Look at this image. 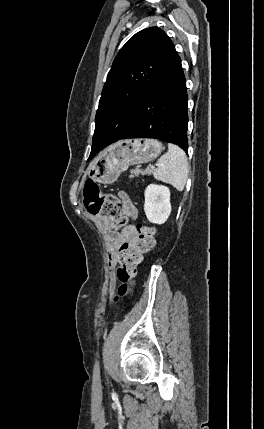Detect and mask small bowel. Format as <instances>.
Returning <instances> with one entry per match:
<instances>
[{
	"label": "small bowel",
	"mask_w": 264,
	"mask_h": 429,
	"mask_svg": "<svg viewBox=\"0 0 264 429\" xmlns=\"http://www.w3.org/2000/svg\"><path fill=\"white\" fill-rule=\"evenodd\" d=\"M118 196L121 201L123 212L129 218L135 219L137 217V208L129 195L124 191H120ZM95 221L104 232L106 250L108 252V264L110 269L113 270L116 266L120 249L125 246L134 245L138 239V231L135 226L131 224L124 227L121 231L112 230L108 227L107 219L102 217L96 216ZM110 281L112 285L115 284L116 278L113 272L110 275Z\"/></svg>",
	"instance_id": "1"
}]
</instances>
